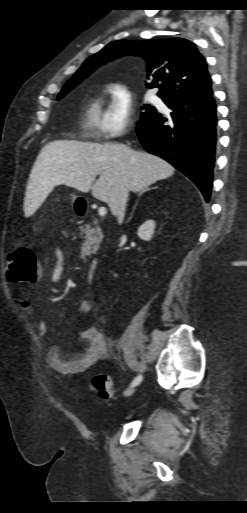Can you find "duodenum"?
<instances>
[{
	"label": "duodenum",
	"mask_w": 247,
	"mask_h": 513,
	"mask_svg": "<svg viewBox=\"0 0 247 513\" xmlns=\"http://www.w3.org/2000/svg\"><path fill=\"white\" fill-rule=\"evenodd\" d=\"M76 208H77V211L81 213V215H84L87 213L86 203H79V204H77ZM98 263H99V261L97 259L93 260L90 268L92 270H95L98 266Z\"/></svg>",
	"instance_id": "obj_1"
}]
</instances>
